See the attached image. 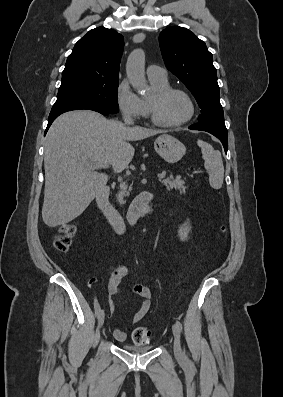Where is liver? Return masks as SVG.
<instances>
[{
  "label": "liver",
  "instance_id": "obj_1",
  "mask_svg": "<svg viewBox=\"0 0 283 397\" xmlns=\"http://www.w3.org/2000/svg\"><path fill=\"white\" fill-rule=\"evenodd\" d=\"M159 133L107 120L90 110L60 115L45 141L44 223L53 228L81 215L108 182V175L96 171L100 165L122 172L135 152L129 142Z\"/></svg>",
  "mask_w": 283,
  "mask_h": 397
}]
</instances>
